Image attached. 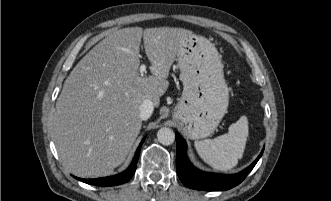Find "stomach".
<instances>
[{"label": "stomach", "instance_id": "0dacf381", "mask_svg": "<svg viewBox=\"0 0 331 201\" xmlns=\"http://www.w3.org/2000/svg\"><path fill=\"white\" fill-rule=\"evenodd\" d=\"M183 93L174 118L185 125L191 139L211 135L227 112L229 90L223 64L214 44L192 34L177 53Z\"/></svg>", "mask_w": 331, "mask_h": 201}]
</instances>
